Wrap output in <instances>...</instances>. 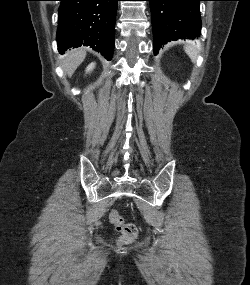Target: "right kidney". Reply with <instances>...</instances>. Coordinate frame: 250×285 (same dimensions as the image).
<instances>
[{
	"label": "right kidney",
	"mask_w": 250,
	"mask_h": 285,
	"mask_svg": "<svg viewBox=\"0 0 250 285\" xmlns=\"http://www.w3.org/2000/svg\"><path fill=\"white\" fill-rule=\"evenodd\" d=\"M94 67H95V63H91L90 65H88L86 72L88 73V72L92 71L94 69Z\"/></svg>",
	"instance_id": "ca27d5eb"
}]
</instances>
